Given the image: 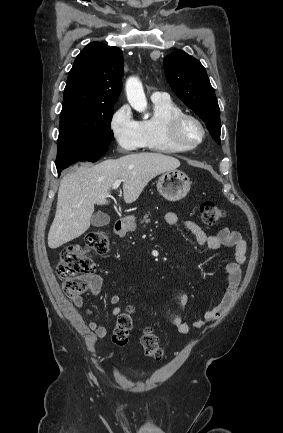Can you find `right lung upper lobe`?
<instances>
[{"label":"right lung upper lobe","mask_w":283,"mask_h":433,"mask_svg":"<svg viewBox=\"0 0 283 433\" xmlns=\"http://www.w3.org/2000/svg\"><path fill=\"white\" fill-rule=\"evenodd\" d=\"M123 53L100 42L76 57L64 90L63 109L81 104L115 103L121 92Z\"/></svg>","instance_id":"right-lung-upper-lobe-1"}]
</instances>
